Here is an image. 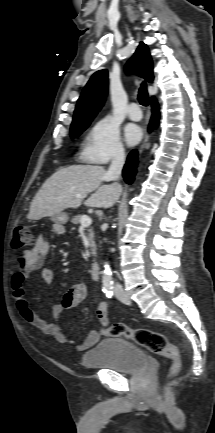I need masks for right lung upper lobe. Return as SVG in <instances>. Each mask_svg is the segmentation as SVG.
I'll return each mask as SVG.
<instances>
[{
  "label": "right lung upper lobe",
  "mask_w": 215,
  "mask_h": 433,
  "mask_svg": "<svg viewBox=\"0 0 215 433\" xmlns=\"http://www.w3.org/2000/svg\"><path fill=\"white\" fill-rule=\"evenodd\" d=\"M127 70L142 76L148 82L153 80V64L148 47L140 42L136 52L128 61ZM107 70L94 73L78 100L72 123L92 120L105 102L108 88Z\"/></svg>",
  "instance_id": "right-lung-upper-lobe-1"
}]
</instances>
